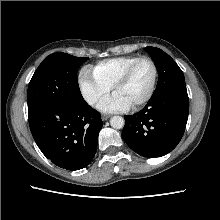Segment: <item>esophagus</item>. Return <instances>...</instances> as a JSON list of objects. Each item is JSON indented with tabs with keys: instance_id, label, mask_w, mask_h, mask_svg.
Wrapping results in <instances>:
<instances>
[{
	"instance_id": "34e87169",
	"label": "esophagus",
	"mask_w": 220,
	"mask_h": 220,
	"mask_svg": "<svg viewBox=\"0 0 220 220\" xmlns=\"http://www.w3.org/2000/svg\"><path fill=\"white\" fill-rule=\"evenodd\" d=\"M110 115H107V114H103L102 115V120L103 121H106L107 119H109Z\"/></svg>"
}]
</instances>
